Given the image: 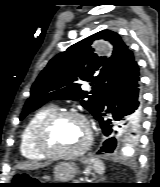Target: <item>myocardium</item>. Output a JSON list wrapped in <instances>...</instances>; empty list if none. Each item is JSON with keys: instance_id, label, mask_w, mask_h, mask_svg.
<instances>
[{"instance_id": "obj_1", "label": "myocardium", "mask_w": 160, "mask_h": 187, "mask_svg": "<svg viewBox=\"0 0 160 187\" xmlns=\"http://www.w3.org/2000/svg\"><path fill=\"white\" fill-rule=\"evenodd\" d=\"M71 117L78 118L83 122L87 130V141L83 147L76 151H60L53 146L54 130L60 121ZM92 142L93 130L90 121L83 113L76 110L54 111L42 121L37 133V145L40 151L53 159H75L81 157L89 151Z\"/></svg>"}]
</instances>
